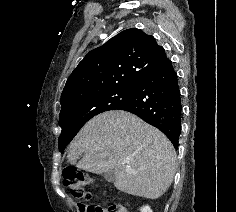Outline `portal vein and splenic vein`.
I'll return each mask as SVG.
<instances>
[{"label": "portal vein and splenic vein", "instance_id": "obj_1", "mask_svg": "<svg viewBox=\"0 0 236 212\" xmlns=\"http://www.w3.org/2000/svg\"><path fill=\"white\" fill-rule=\"evenodd\" d=\"M127 171H131V172H133V173L135 172V171H133V170H130V169H127Z\"/></svg>", "mask_w": 236, "mask_h": 212}]
</instances>
